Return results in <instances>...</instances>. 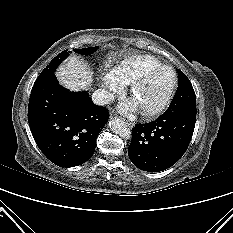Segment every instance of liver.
I'll return each mask as SVG.
<instances>
[{
	"instance_id": "obj_1",
	"label": "liver",
	"mask_w": 233,
	"mask_h": 233,
	"mask_svg": "<svg viewBox=\"0 0 233 233\" xmlns=\"http://www.w3.org/2000/svg\"><path fill=\"white\" fill-rule=\"evenodd\" d=\"M56 76L61 84L71 91L86 89L92 82V75L87 65L76 56L71 57L61 66Z\"/></svg>"
}]
</instances>
